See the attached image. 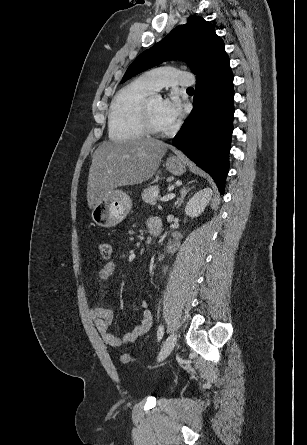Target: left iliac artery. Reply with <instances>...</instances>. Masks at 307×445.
Segmentation results:
<instances>
[{"mask_svg": "<svg viewBox=\"0 0 307 445\" xmlns=\"http://www.w3.org/2000/svg\"><path fill=\"white\" fill-rule=\"evenodd\" d=\"M163 335H164V326L161 324L159 325L157 330V338L159 341L162 339Z\"/></svg>", "mask_w": 307, "mask_h": 445, "instance_id": "obj_1", "label": "left iliac artery"}]
</instances>
